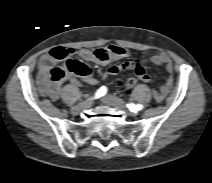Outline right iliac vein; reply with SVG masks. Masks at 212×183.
<instances>
[{"mask_svg":"<svg viewBox=\"0 0 212 183\" xmlns=\"http://www.w3.org/2000/svg\"><path fill=\"white\" fill-rule=\"evenodd\" d=\"M91 104H92L91 101L83 102V103H81V104H79V105L73 107V108L71 109V112H72L73 114H79L82 110L89 108V107L91 106Z\"/></svg>","mask_w":212,"mask_h":183,"instance_id":"1","label":"right iliac vein"}]
</instances>
